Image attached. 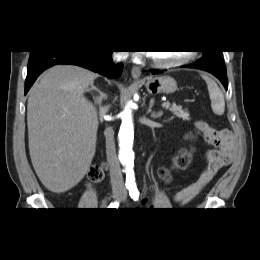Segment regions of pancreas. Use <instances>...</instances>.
<instances>
[{
	"instance_id": "pancreas-1",
	"label": "pancreas",
	"mask_w": 260,
	"mask_h": 260,
	"mask_svg": "<svg viewBox=\"0 0 260 260\" xmlns=\"http://www.w3.org/2000/svg\"><path fill=\"white\" fill-rule=\"evenodd\" d=\"M169 111L173 113L176 117L183 119V120H189V113L187 110H183L181 106H177L175 103L171 105V107H167Z\"/></svg>"
}]
</instances>
